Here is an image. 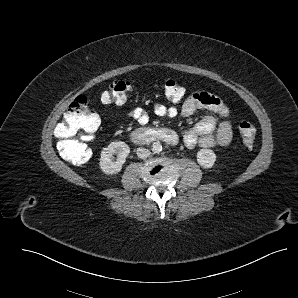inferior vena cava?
<instances>
[{"label":"inferior vena cava","instance_id":"602c4592","mask_svg":"<svg viewBox=\"0 0 298 298\" xmlns=\"http://www.w3.org/2000/svg\"><path fill=\"white\" fill-rule=\"evenodd\" d=\"M136 154L139 158L145 159L150 156L151 152H150V150H148L144 147H139V148H137Z\"/></svg>","mask_w":298,"mask_h":298}]
</instances>
